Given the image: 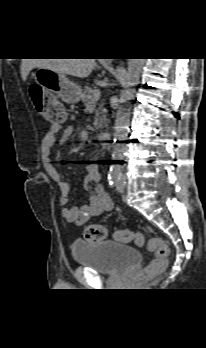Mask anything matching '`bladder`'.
<instances>
[{
  "mask_svg": "<svg viewBox=\"0 0 206 348\" xmlns=\"http://www.w3.org/2000/svg\"><path fill=\"white\" fill-rule=\"evenodd\" d=\"M75 262L105 275H117L141 260L140 252L114 241H75L72 246Z\"/></svg>",
  "mask_w": 206,
  "mask_h": 348,
  "instance_id": "31cf9c89",
  "label": "bladder"
}]
</instances>
